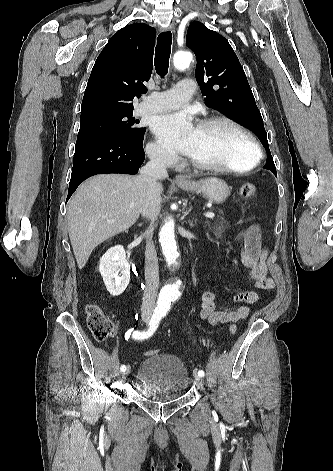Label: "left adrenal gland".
I'll return each instance as SVG.
<instances>
[{
  "label": "left adrenal gland",
  "instance_id": "a2214340",
  "mask_svg": "<svg viewBox=\"0 0 333 471\" xmlns=\"http://www.w3.org/2000/svg\"><path fill=\"white\" fill-rule=\"evenodd\" d=\"M190 211H191V209H190L188 212H190ZM188 222H189V224H190L191 227H194V226H195V224L193 223L192 220H188ZM195 223H196V220H195Z\"/></svg>",
  "mask_w": 333,
  "mask_h": 471
}]
</instances>
